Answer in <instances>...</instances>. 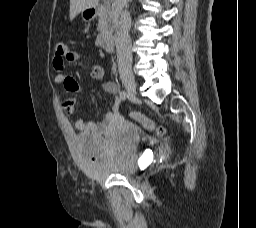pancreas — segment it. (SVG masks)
<instances>
[{
    "label": "pancreas",
    "instance_id": "1",
    "mask_svg": "<svg viewBox=\"0 0 256 228\" xmlns=\"http://www.w3.org/2000/svg\"><path fill=\"white\" fill-rule=\"evenodd\" d=\"M111 12L110 5L106 3L99 14L97 30L100 32L108 33L110 30Z\"/></svg>",
    "mask_w": 256,
    "mask_h": 228
}]
</instances>
